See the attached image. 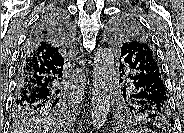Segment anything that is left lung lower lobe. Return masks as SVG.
<instances>
[{
	"label": "left lung lower lobe",
	"mask_w": 184,
	"mask_h": 133,
	"mask_svg": "<svg viewBox=\"0 0 184 133\" xmlns=\"http://www.w3.org/2000/svg\"><path fill=\"white\" fill-rule=\"evenodd\" d=\"M128 69L130 70L129 77L132 80L133 97L137 102L136 109L139 113L146 119H168L170 104L163 77L144 63L138 64L134 68L124 69V72ZM169 121L173 124V119H169Z\"/></svg>",
	"instance_id": "obj_1"
}]
</instances>
